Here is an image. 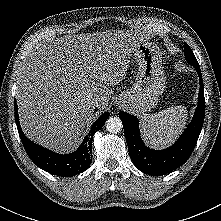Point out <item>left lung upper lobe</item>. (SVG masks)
Wrapping results in <instances>:
<instances>
[{
  "label": "left lung upper lobe",
  "mask_w": 221,
  "mask_h": 221,
  "mask_svg": "<svg viewBox=\"0 0 221 221\" xmlns=\"http://www.w3.org/2000/svg\"><path fill=\"white\" fill-rule=\"evenodd\" d=\"M184 54H185V58L189 64H191L193 67H199V64H198L191 48L186 43H184Z\"/></svg>",
  "instance_id": "1"
}]
</instances>
